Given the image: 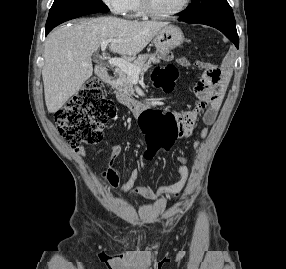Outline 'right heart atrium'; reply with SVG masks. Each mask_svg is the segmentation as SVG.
Returning a JSON list of instances; mask_svg holds the SVG:
<instances>
[{"label": "right heart atrium", "mask_w": 286, "mask_h": 269, "mask_svg": "<svg viewBox=\"0 0 286 269\" xmlns=\"http://www.w3.org/2000/svg\"><path fill=\"white\" fill-rule=\"evenodd\" d=\"M109 10L117 15H122L126 10L127 0H102Z\"/></svg>", "instance_id": "obj_1"}]
</instances>
